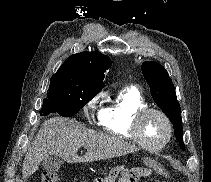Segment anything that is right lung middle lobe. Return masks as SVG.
Listing matches in <instances>:
<instances>
[{"label":"right lung middle lobe","instance_id":"right-lung-middle-lobe-1","mask_svg":"<svg viewBox=\"0 0 211 182\" xmlns=\"http://www.w3.org/2000/svg\"><path fill=\"white\" fill-rule=\"evenodd\" d=\"M102 88L95 85L77 82L65 76L53 75L50 79L47 99L43 101L40 115L58 113L71 117L95 97Z\"/></svg>","mask_w":211,"mask_h":182}]
</instances>
